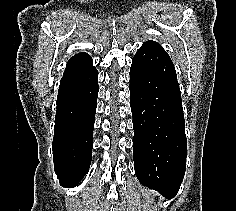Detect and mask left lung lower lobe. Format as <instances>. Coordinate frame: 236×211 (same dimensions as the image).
Wrapping results in <instances>:
<instances>
[{
  "label": "left lung lower lobe",
  "instance_id": "obj_1",
  "mask_svg": "<svg viewBox=\"0 0 236 211\" xmlns=\"http://www.w3.org/2000/svg\"><path fill=\"white\" fill-rule=\"evenodd\" d=\"M130 105L136 176L173 198L185 174L187 140L176 71L163 49L142 45L133 57Z\"/></svg>",
  "mask_w": 236,
  "mask_h": 211
}]
</instances>
